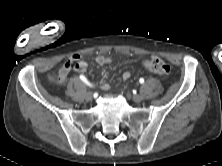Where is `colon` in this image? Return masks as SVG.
<instances>
[{
  "label": "colon",
  "mask_w": 222,
  "mask_h": 166,
  "mask_svg": "<svg viewBox=\"0 0 222 166\" xmlns=\"http://www.w3.org/2000/svg\"><path fill=\"white\" fill-rule=\"evenodd\" d=\"M142 66L149 72L168 76L171 72L170 66L158 57H151L143 61ZM64 78L62 74L56 77L57 81H61Z\"/></svg>",
  "instance_id": "colon-1"
}]
</instances>
